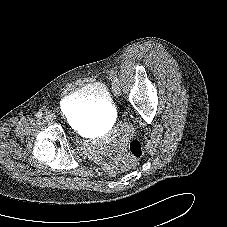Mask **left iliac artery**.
<instances>
[{
  "label": "left iliac artery",
  "mask_w": 227,
  "mask_h": 227,
  "mask_svg": "<svg viewBox=\"0 0 227 227\" xmlns=\"http://www.w3.org/2000/svg\"><path fill=\"white\" fill-rule=\"evenodd\" d=\"M113 82H114L115 84H119V79H118L116 76H114V77H113Z\"/></svg>",
  "instance_id": "44dca946"
}]
</instances>
